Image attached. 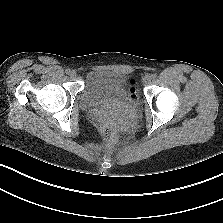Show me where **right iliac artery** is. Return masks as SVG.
I'll return each instance as SVG.
<instances>
[{"instance_id": "right-iliac-artery-1", "label": "right iliac artery", "mask_w": 223, "mask_h": 223, "mask_svg": "<svg viewBox=\"0 0 223 223\" xmlns=\"http://www.w3.org/2000/svg\"><path fill=\"white\" fill-rule=\"evenodd\" d=\"M66 74H69L70 72H71V70L70 69H66Z\"/></svg>"}]
</instances>
